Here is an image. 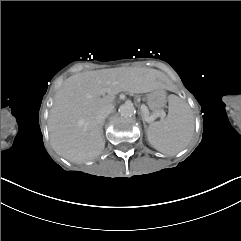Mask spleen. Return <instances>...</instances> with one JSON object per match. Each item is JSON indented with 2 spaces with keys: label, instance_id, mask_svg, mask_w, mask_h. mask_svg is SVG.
I'll list each match as a JSON object with an SVG mask.
<instances>
[{
  "label": "spleen",
  "instance_id": "3e777b00",
  "mask_svg": "<svg viewBox=\"0 0 241 241\" xmlns=\"http://www.w3.org/2000/svg\"><path fill=\"white\" fill-rule=\"evenodd\" d=\"M168 119L154 122L146 130L148 143L157 151L174 156L190 142L194 131V119L190 106L181 97L168 101Z\"/></svg>",
  "mask_w": 241,
  "mask_h": 241
}]
</instances>
